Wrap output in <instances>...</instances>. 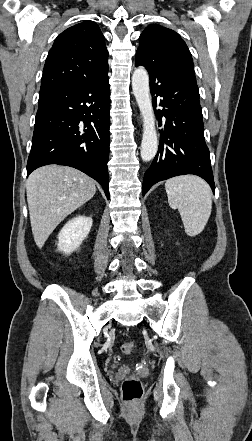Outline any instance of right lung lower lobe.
I'll use <instances>...</instances> for the list:
<instances>
[{
  "label": "right lung lower lobe",
  "mask_w": 252,
  "mask_h": 441,
  "mask_svg": "<svg viewBox=\"0 0 252 441\" xmlns=\"http://www.w3.org/2000/svg\"><path fill=\"white\" fill-rule=\"evenodd\" d=\"M109 110L108 79L39 95L27 176L48 164L71 166L99 182L109 199Z\"/></svg>",
  "instance_id": "1"
}]
</instances>
